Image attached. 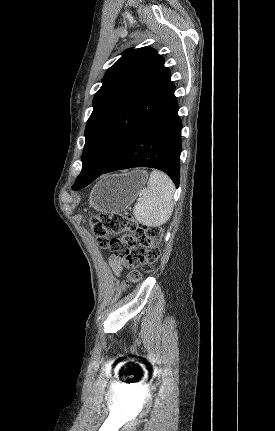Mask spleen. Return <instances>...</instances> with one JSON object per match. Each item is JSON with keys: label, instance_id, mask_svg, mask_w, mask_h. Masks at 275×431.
Here are the masks:
<instances>
[{"label": "spleen", "instance_id": "spleen-1", "mask_svg": "<svg viewBox=\"0 0 275 431\" xmlns=\"http://www.w3.org/2000/svg\"><path fill=\"white\" fill-rule=\"evenodd\" d=\"M175 186L163 172H151L147 187L142 189L141 197L134 205L135 219L147 226H161L171 217Z\"/></svg>", "mask_w": 275, "mask_h": 431}]
</instances>
